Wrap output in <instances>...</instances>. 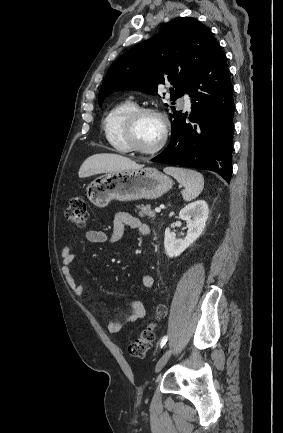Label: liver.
Here are the masks:
<instances>
[{
    "mask_svg": "<svg viewBox=\"0 0 283 433\" xmlns=\"http://www.w3.org/2000/svg\"><path fill=\"white\" fill-rule=\"evenodd\" d=\"M142 164H137L128 156L122 154H111V152H101V154H92L82 162L79 168V176H92L100 172H118V170H139Z\"/></svg>",
    "mask_w": 283,
    "mask_h": 433,
    "instance_id": "liver-1",
    "label": "liver"
}]
</instances>
